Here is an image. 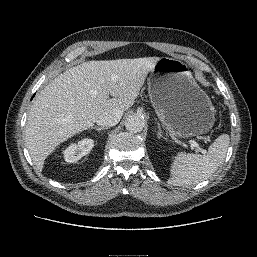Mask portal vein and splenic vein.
<instances>
[{"mask_svg": "<svg viewBox=\"0 0 257 257\" xmlns=\"http://www.w3.org/2000/svg\"><path fill=\"white\" fill-rule=\"evenodd\" d=\"M189 143H190L192 149L196 148L197 151H199L203 154L206 153V150L201 148L194 140H190Z\"/></svg>", "mask_w": 257, "mask_h": 257, "instance_id": "portal-vein-and-splenic-vein-1", "label": "portal vein and splenic vein"}]
</instances>
